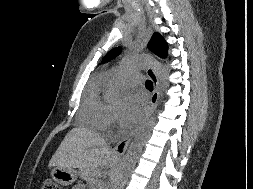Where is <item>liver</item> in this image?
Listing matches in <instances>:
<instances>
[{
  "label": "liver",
  "instance_id": "1",
  "mask_svg": "<svg viewBox=\"0 0 253 189\" xmlns=\"http://www.w3.org/2000/svg\"><path fill=\"white\" fill-rule=\"evenodd\" d=\"M115 156L95 132L81 127L67 133L52 156L49 167L79 168L91 189H99L101 168Z\"/></svg>",
  "mask_w": 253,
  "mask_h": 189
}]
</instances>
